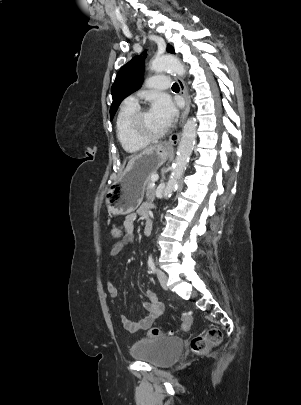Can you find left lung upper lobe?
I'll return each mask as SVG.
<instances>
[{
	"instance_id": "left-lung-upper-lobe-1",
	"label": "left lung upper lobe",
	"mask_w": 301,
	"mask_h": 405,
	"mask_svg": "<svg viewBox=\"0 0 301 405\" xmlns=\"http://www.w3.org/2000/svg\"><path fill=\"white\" fill-rule=\"evenodd\" d=\"M170 53H175L174 48L168 44L167 49ZM144 57L135 56L118 72L114 84L111 87L112 105L110 108L111 120L118 109L121 101L138 90L143 82L144 59L146 51L142 53Z\"/></svg>"
}]
</instances>
